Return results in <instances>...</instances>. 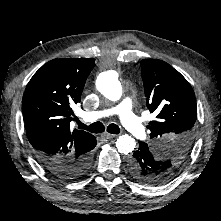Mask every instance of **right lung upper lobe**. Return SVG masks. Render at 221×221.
Returning <instances> with one entry per match:
<instances>
[{
    "label": "right lung upper lobe",
    "mask_w": 221,
    "mask_h": 221,
    "mask_svg": "<svg viewBox=\"0 0 221 221\" xmlns=\"http://www.w3.org/2000/svg\"><path fill=\"white\" fill-rule=\"evenodd\" d=\"M94 67L93 59H53L33 75L23 96L22 112L35 155L68 162L96 146L92 134L70 129L71 106L80 102Z\"/></svg>",
    "instance_id": "obj_1"
}]
</instances>
